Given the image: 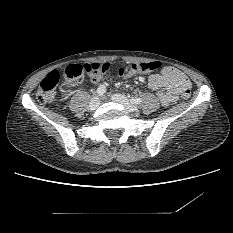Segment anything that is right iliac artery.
Instances as JSON below:
<instances>
[{"label":"right iliac artery","mask_w":233,"mask_h":233,"mask_svg":"<svg viewBox=\"0 0 233 233\" xmlns=\"http://www.w3.org/2000/svg\"><path fill=\"white\" fill-rule=\"evenodd\" d=\"M105 92H106V87L104 85H100L97 89V95L101 97L104 95Z\"/></svg>","instance_id":"right-iliac-artery-1"}]
</instances>
